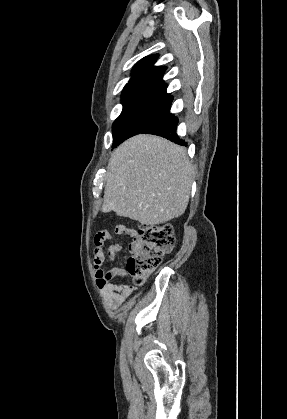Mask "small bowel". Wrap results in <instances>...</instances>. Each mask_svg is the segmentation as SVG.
<instances>
[{"instance_id":"small-bowel-1","label":"small bowel","mask_w":287,"mask_h":419,"mask_svg":"<svg viewBox=\"0 0 287 419\" xmlns=\"http://www.w3.org/2000/svg\"><path fill=\"white\" fill-rule=\"evenodd\" d=\"M115 233L132 238L136 237V231L132 227L124 224L117 225ZM105 237L107 240H110L113 238V233L106 232ZM121 253L122 247L118 243L112 244L106 253L104 249V243L98 242L93 258L96 284L98 288L103 292L107 299L108 305L112 309L119 308L133 294L134 291L133 287L128 284H115L111 282L116 277H126L127 272L124 269L113 267L108 270H104L102 268L106 255L111 260H114L118 258Z\"/></svg>"}]
</instances>
